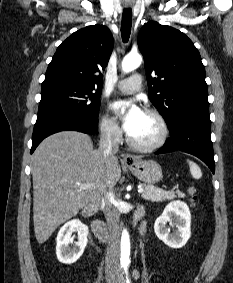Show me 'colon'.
Wrapping results in <instances>:
<instances>
[{
	"mask_svg": "<svg viewBox=\"0 0 233 283\" xmlns=\"http://www.w3.org/2000/svg\"><path fill=\"white\" fill-rule=\"evenodd\" d=\"M188 195H189V199H190L191 203H192V204H195L196 199H197L196 193H195V189L192 188V187H190V188L188 189Z\"/></svg>",
	"mask_w": 233,
	"mask_h": 283,
	"instance_id": "colon-1",
	"label": "colon"
}]
</instances>
